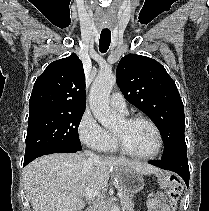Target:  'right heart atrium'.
<instances>
[{
    "instance_id": "d8ad5b80",
    "label": "right heart atrium",
    "mask_w": 209,
    "mask_h": 211,
    "mask_svg": "<svg viewBox=\"0 0 209 211\" xmlns=\"http://www.w3.org/2000/svg\"><path fill=\"white\" fill-rule=\"evenodd\" d=\"M78 135L83 144L94 150H102L110 139V133L100 125L89 110H86L80 118Z\"/></svg>"
}]
</instances>
